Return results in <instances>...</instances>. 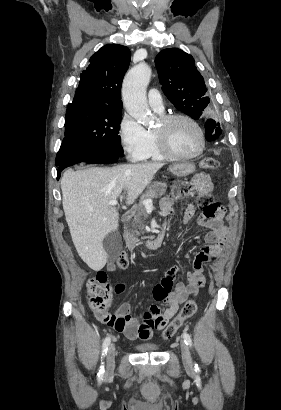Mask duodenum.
I'll use <instances>...</instances> for the list:
<instances>
[{"label":"duodenum","instance_id":"obj_1","mask_svg":"<svg viewBox=\"0 0 281 410\" xmlns=\"http://www.w3.org/2000/svg\"><path fill=\"white\" fill-rule=\"evenodd\" d=\"M134 215L132 210L125 212L122 216L123 222H128ZM164 241V232H161L155 239L146 241L129 240L128 247L132 252H136L141 248L156 250L161 247Z\"/></svg>","mask_w":281,"mask_h":410}]
</instances>
